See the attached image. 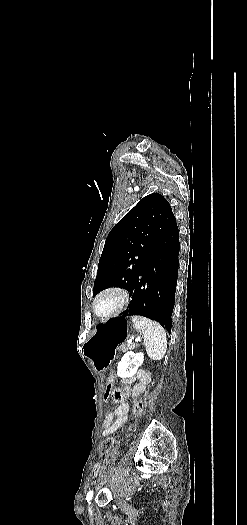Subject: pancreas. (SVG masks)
<instances>
[{"instance_id":"cf45deb5","label":"pancreas","mask_w":247,"mask_h":525,"mask_svg":"<svg viewBox=\"0 0 247 525\" xmlns=\"http://www.w3.org/2000/svg\"><path fill=\"white\" fill-rule=\"evenodd\" d=\"M136 345H131V343H123L121 347H119V352L125 353L126 351H129V349H135Z\"/></svg>"}]
</instances>
